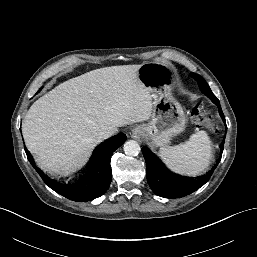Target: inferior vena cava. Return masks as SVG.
Here are the masks:
<instances>
[{
	"mask_svg": "<svg viewBox=\"0 0 257 257\" xmlns=\"http://www.w3.org/2000/svg\"><path fill=\"white\" fill-rule=\"evenodd\" d=\"M118 132V130L116 128H109L106 131L101 132V137L103 139H107L113 135H115Z\"/></svg>",
	"mask_w": 257,
	"mask_h": 257,
	"instance_id": "1",
	"label": "inferior vena cava"
}]
</instances>
